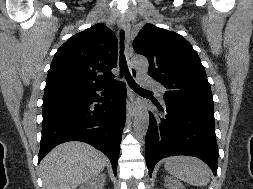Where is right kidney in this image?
Returning <instances> with one entry per match:
<instances>
[{
  "label": "right kidney",
  "instance_id": "obj_1",
  "mask_svg": "<svg viewBox=\"0 0 253 189\" xmlns=\"http://www.w3.org/2000/svg\"><path fill=\"white\" fill-rule=\"evenodd\" d=\"M105 174H100L87 181L80 189H103Z\"/></svg>",
  "mask_w": 253,
  "mask_h": 189
}]
</instances>
